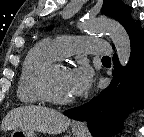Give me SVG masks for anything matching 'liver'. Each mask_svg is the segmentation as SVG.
I'll return each mask as SVG.
<instances>
[{
    "label": "liver",
    "instance_id": "obj_1",
    "mask_svg": "<svg viewBox=\"0 0 144 137\" xmlns=\"http://www.w3.org/2000/svg\"><path fill=\"white\" fill-rule=\"evenodd\" d=\"M71 120L55 109L43 106H24L11 110L3 119L4 131L22 129L57 135L66 131Z\"/></svg>",
    "mask_w": 144,
    "mask_h": 137
}]
</instances>
